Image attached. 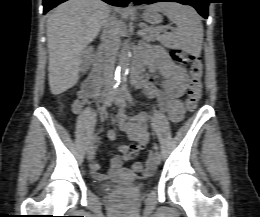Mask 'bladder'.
Segmentation results:
<instances>
[{"instance_id": "31cf9c89", "label": "bladder", "mask_w": 260, "mask_h": 217, "mask_svg": "<svg viewBox=\"0 0 260 217\" xmlns=\"http://www.w3.org/2000/svg\"><path fill=\"white\" fill-rule=\"evenodd\" d=\"M138 175L130 169L122 168L115 172L112 178L113 183L130 186L134 191L141 193L145 190V184H136Z\"/></svg>"}]
</instances>
